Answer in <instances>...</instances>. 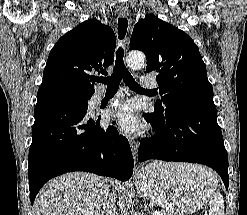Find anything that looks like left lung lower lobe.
Returning a JSON list of instances; mask_svg holds the SVG:
<instances>
[{"mask_svg": "<svg viewBox=\"0 0 247 215\" xmlns=\"http://www.w3.org/2000/svg\"><path fill=\"white\" fill-rule=\"evenodd\" d=\"M154 110L145 117L155 135L141 140L138 162L158 159L204 164L221 176L228 189V155L216 111L191 108L166 114Z\"/></svg>", "mask_w": 247, "mask_h": 215, "instance_id": "1", "label": "left lung lower lobe"}]
</instances>
